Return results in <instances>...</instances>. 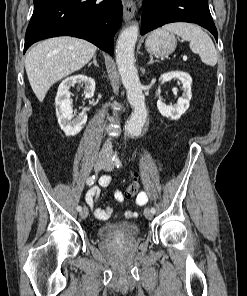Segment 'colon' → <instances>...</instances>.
<instances>
[{"instance_id": "5ec220e1", "label": "colon", "mask_w": 247, "mask_h": 296, "mask_svg": "<svg viewBox=\"0 0 247 296\" xmlns=\"http://www.w3.org/2000/svg\"><path fill=\"white\" fill-rule=\"evenodd\" d=\"M139 187H140L139 181L138 179H135L125 190L124 192L125 198L134 197L137 194Z\"/></svg>"}]
</instances>
